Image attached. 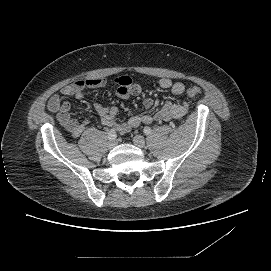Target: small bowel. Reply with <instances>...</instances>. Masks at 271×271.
Returning <instances> with one entry per match:
<instances>
[{
	"mask_svg": "<svg viewBox=\"0 0 271 271\" xmlns=\"http://www.w3.org/2000/svg\"><path fill=\"white\" fill-rule=\"evenodd\" d=\"M116 93L121 98H128L131 93L129 88L132 86L131 79L127 76L117 78ZM107 84L105 78H90L85 80H76L61 88L60 93L51 96L47 107L51 112L56 113L57 120L64 127L72 137H79L88 125V120L84 119L78 121L71 116L70 105L63 101L62 96H74L77 99H82L85 96L87 89L102 88ZM160 88L164 90H171L175 95H183L185 86L181 82H173L169 78H162L159 80ZM154 105L152 98H145L143 106L146 109H151ZM94 110L99 115L102 123L107 126L115 127L122 133L129 132L131 129L138 127L141 124H151L158 121H169L171 119H179L186 115L189 110V103L187 100L180 102L167 101L155 113H145L135 115L129 118L126 124L118 125L116 118L118 116V109L116 107L104 106L100 103L94 105Z\"/></svg>",
	"mask_w": 271,
	"mask_h": 271,
	"instance_id": "1",
	"label": "small bowel"
}]
</instances>
